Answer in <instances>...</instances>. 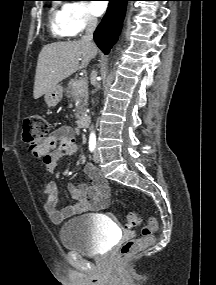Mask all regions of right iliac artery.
<instances>
[{"label": "right iliac artery", "mask_w": 216, "mask_h": 285, "mask_svg": "<svg viewBox=\"0 0 216 285\" xmlns=\"http://www.w3.org/2000/svg\"><path fill=\"white\" fill-rule=\"evenodd\" d=\"M96 148V137L95 135L91 134L89 138V150L93 152Z\"/></svg>", "instance_id": "right-iliac-artery-1"}]
</instances>
